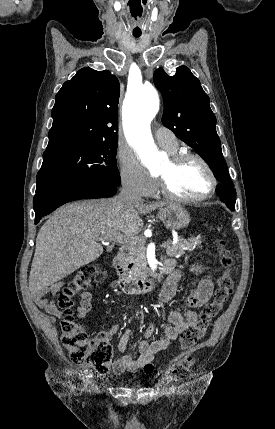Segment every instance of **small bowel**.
I'll use <instances>...</instances> for the list:
<instances>
[{"instance_id":"obj_1","label":"small bowel","mask_w":275,"mask_h":429,"mask_svg":"<svg viewBox=\"0 0 275 429\" xmlns=\"http://www.w3.org/2000/svg\"><path fill=\"white\" fill-rule=\"evenodd\" d=\"M171 267L170 276L163 285L159 294V299L163 303H168L173 299L176 293L177 284L180 279V272L175 270V263L172 260L167 261ZM193 271L199 272L201 268L194 266ZM60 289V284L55 283L47 288H39L33 291V299L35 303L44 309L47 313L54 316H61L62 311L59 310L54 301L47 297L48 294L55 295ZM213 292V281L211 276L203 277L191 289L185 299L186 310L184 314L176 310H171L168 313L169 326L164 330L161 338L152 342L147 339L152 335L155 322L151 321L145 328V339L140 341L134 348L135 357L131 356L130 351V331L127 330L119 339L118 350L120 356L113 363V371L117 374L124 372L134 373L139 370L152 366L154 356L165 349L177 339L185 330L192 327L197 322L196 309L202 307L211 297ZM92 296L89 292L80 294V304L78 307V316L83 318L92 311ZM118 325H111L107 332L101 333L100 336L110 338L111 335L117 333Z\"/></svg>"}]
</instances>
